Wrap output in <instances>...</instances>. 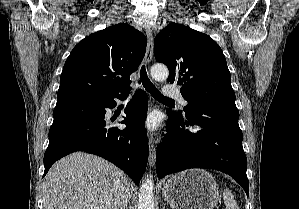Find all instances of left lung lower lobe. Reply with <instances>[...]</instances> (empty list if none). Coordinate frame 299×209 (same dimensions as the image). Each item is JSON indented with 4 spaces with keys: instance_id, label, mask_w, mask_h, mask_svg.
<instances>
[{
    "instance_id": "obj_1",
    "label": "left lung lower lobe",
    "mask_w": 299,
    "mask_h": 209,
    "mask_svg": "<svg viewBox=\"0 0 299 209\" xmlns=\"http://www.w3.org/2000/svg\"><path fill=\"white\" fill-rule=\"evenodd\" d=\"M167 114L166 134L156 152L158 177L189 168L215 169L234 178L248 196L247 158L235 101L195 102L186 118Z\"/></svg>"
}]
</instances>
